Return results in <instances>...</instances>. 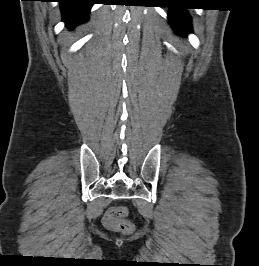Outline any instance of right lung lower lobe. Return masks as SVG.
<instances>
[{
	"label": "right lung lower lobe",
	"mask_w": 259,
	"mask_h": 266,
	"mask_svg": "<svg viewBox=\"0 0 259 266\" xmlns=\"http://www.w3.org/2000/svg\"><path fill=\"white\" fill-rule=\"evenodd\" d=\"M66 25L72 27L87 19L90 7L96 0H59Z\"/></svg>",
	"instance_id": "98d812e1"
}]
</instances>
